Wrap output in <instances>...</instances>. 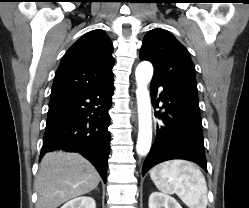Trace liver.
I'll list each match as a JSON object with an SVG mask.
<instances>
[{"label":"liver","instance_id":"6515ba94","mask_svg":"<svg viewBox=\"0 0 249 208\" xmlns=\"http://www.w3.org/2000/svg\"><path fill=\"white\" fill-rule=\"evenodd\" d=\"M100 179L95 167L78 153L61 150L46 153L35 180L36 208H57L94 190Z\"/></svg>","mask_w":249,"mask_h":208}]
</instances>
